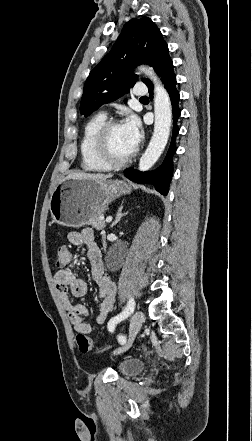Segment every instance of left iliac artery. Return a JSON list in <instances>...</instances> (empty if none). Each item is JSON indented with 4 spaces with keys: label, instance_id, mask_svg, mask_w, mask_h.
<instances>
[{
    "label": "left iliac artery",
    "instance_id": "1",
    "mask_svg": "<svg viewBox=\"0 0 252 441\" xmlns=\"http://www.w3.org/2000/svg\"><path fill=\"white\" fill-rule=\"evenodd\" d=\"M134 308H135V301L132 297H130L125 309L120 314L113 317L107 324L109 330H114L115 325L120 323L122 320L126 319L134 311ZM115 336H118V341L120 344H124L126 342L124 331H119L118 333H115Z\"/></svg>",
    "mask_w": 252,
    "mask_h": 441
}]
</instances>
